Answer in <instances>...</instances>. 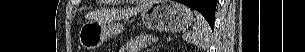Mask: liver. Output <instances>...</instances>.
<instances>
[{
    "instance_id": "liver-1",
    "label": "liver",
    "mask_w": 305,
    "mask_h": 52,
    "mask_svg": "<svg viewBox=\"0 0 305 52\" xmlns=\"http://www.w3.org/2000/svg\"><path fill=\"white\" fill-rule=\"evenodd\" d=\"M152 3L151 0H147L146 2H144L141 5H137L136 7H132L129 9H116V10H111V11H107L105 13V17L107 19H110V21L113 20H120V19H124V18H128L131 17L133 15H136L137 13L141 12L142 10L146 9L150 4ZM95 16L94 13H90L87 15V17L91 18Z\"/></svg>"
}]
</instances>
